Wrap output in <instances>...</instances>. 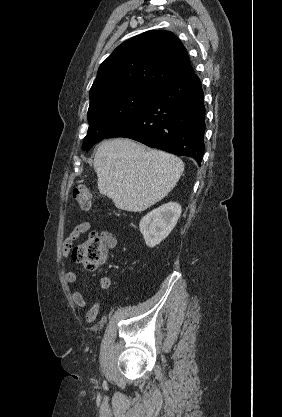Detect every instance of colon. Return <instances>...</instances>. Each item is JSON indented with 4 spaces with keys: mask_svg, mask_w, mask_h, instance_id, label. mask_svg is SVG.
Listing matches in <instances>:
<instances>
[{
    "mask_svg": "<svg viewBox=\"0 0 282 417\" xmlns=\"http://www.w3.org/2000/svg\"><path fill=\"white\" fill-rule=\"evenodd\" d=\"M73 195L81 207L89 208L91 206V194L85 186L75 187ZM107 256V246L101 238L96 236H92L76 246L72 253L75 263L83 264L92 269L104 267L107 263Z\"/></svg>",
    "mask_w": 282,
    "mask_h": 417,
    "instance_id": "colon-1",
    "label": "colon"
}]
</instances>
